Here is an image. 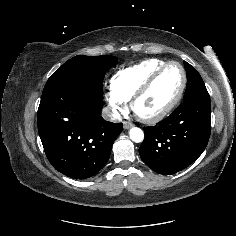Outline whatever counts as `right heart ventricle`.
Instances as JSON below:
<instances>
[{"label":"right heart ventricle","mask_w":236,"mask_h":236,"mask_svg":"<svg viewBox=\"0 0 236 236\" xmlns=\"http://www.w3.org/2000/svg\"><path fill=\"white\" fill-rule=\"evenodd\" d=\"M165 63L164 60L152 58L121 69L111 79V90L124 101H129L145 81Z\"/></svg>","instance_id":"right-heart-ventricle-1"}]
</instances>
